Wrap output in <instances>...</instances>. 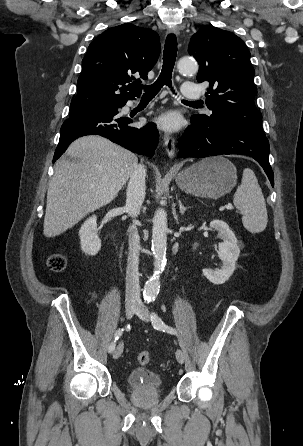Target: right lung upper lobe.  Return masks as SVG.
<instances>
[{"instance_id": "obj_1", "label": "right lung upper lobe", "mask_w": 303, "mask_h": 446, "mask_svg": "<svg viewBox=\"0 0 303 446\" xmlns=\"http://www.w3.org/2000/svg\"><path fill=\"white\" fill-rule=\"evenodd\" d=\"M159 54V36L151 29L126 23L106 30L89 45L72 102L86 111L125 105L141 93L133 74L147 79Z\"/></svg>"}]
</instances>
